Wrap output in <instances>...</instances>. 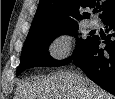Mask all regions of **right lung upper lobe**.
Instances as JSON below:
<instances>
[{
	"instance_id": "1",
	"label": "right lung upper lobe",
	"mask_w": 115,
	"mask_h": 99,
	"mask_svg": "<svg viewBox=\"0 0 115 99\" xmlns=\"http://www.w3.org/2000/svg\"><path fill=\"white\" fill-rule=\"evenodd\" d=\"M80 7L100 8L102 14L99 17L102 18L115 10V0H106L101 4L96 0H40L27 37L74 25V18H89L90 14L87 12L83 13V17L80 16Z\"/></svg>"
}]
</instances>
